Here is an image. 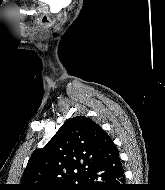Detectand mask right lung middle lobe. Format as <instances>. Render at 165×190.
I'll return each mask as SVG.
<instances>
[{"mask_svg": "<svg viewBox=\"0 0 165 190\" xmlns=\"http://www.w3.org/2000/svg\"><path fill=\"white\" fill-rule=\"evenodd\" d=\"M80 184H71L65 187L55 188L54 190H78Z\"/></svg>", "mask_w": 165, "mask_h": 190, "instance_id": "1", "label": "right lung middle lobe"}]
</instances>
